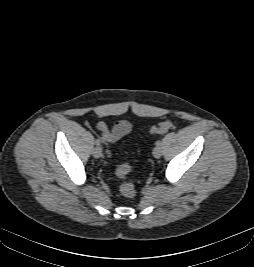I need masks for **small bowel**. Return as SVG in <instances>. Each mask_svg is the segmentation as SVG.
<instances>
[{
    "label": "small bowel",
    "mask_w": 254,
    "mask_h": 267,
    "mask_svg": "<svg viewBox=\"0 0 254 267\" xmlns=\"http://www.w3.org/2000/svg\"><path fill=\"white\" fill-rule=\"evenodd\" d=\"M96 128L101 133V139L105 142H116L132 131V124L129 121H120L112 129H109L104 122H99Z\"/></svg>",
    "instance_id": "obj_1"
}]
</instances>
